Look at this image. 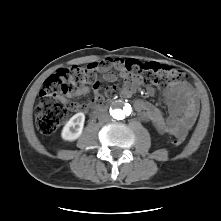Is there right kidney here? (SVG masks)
Here are the masks:
<instances>
[{
	"label": "right kidney",
	"instance_id": "1",
	"mask_svg": "<svg viewBox=\"0 0 221 221\" xmlns=\"http://www.w3.org/2000/svg\"><path fill=\"white\" fill-rule=\"evenodd\" d=\"M84 121V113L80 112L72 116L62 129V139L66 141H74L78 139L83 131Z\"/></svg>",
	"mask_w": 221,
	"mask_h": 221
}]
</instances>
